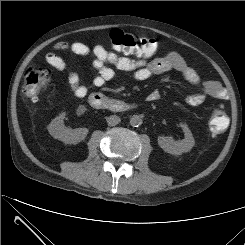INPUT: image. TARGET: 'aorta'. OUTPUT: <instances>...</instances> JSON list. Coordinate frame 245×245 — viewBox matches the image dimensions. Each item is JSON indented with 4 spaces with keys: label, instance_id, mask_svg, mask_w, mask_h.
I'll use <instances>...</instances> for the list:
<instances>
[{
    "label": "aorta",
    "instance_id": "1",
    "mask_svg": "<svg viewBox=\"0 0 245 245\" xmlns=\"http://www.w3.org/2000/svg\"><path fill=\"white\" fill-rule=\"evenodd\" d=\"M142 124V118L139 115H133L130 118V125L133 127H138Z\"/></svg>",
    "mask_w": 245,
    "mask_h": 245
}]
</instances>
